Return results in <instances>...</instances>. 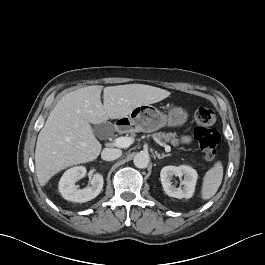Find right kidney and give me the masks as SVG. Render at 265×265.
Wrapping results in <instances>:
<instances>
[{
  "label": "right kidney",
  "instance_id": "right-kidney-1",
  "mask_svg": "<svg viewBox=\"0 0 265 265\" xmlns=\"http://www.w3.org/2000/svg\"><path fill=\"white\" fill-rule=\"evenodd\" d=\"M86 175V168L76 166L68 169L59 181V191L64 199L84 203L97 197L103 187V176L95 173L90 180L91 186L78 189L75 183Z\"/></svg>",
  "mask_w": 265,
  "mask_h": 265
}]
</instances>
